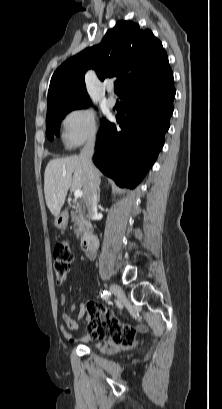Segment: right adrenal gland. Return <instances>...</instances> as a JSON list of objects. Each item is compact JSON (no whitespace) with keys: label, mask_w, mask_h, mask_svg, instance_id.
Listing matches in <instances>:
<instances>
[{"label":"right adrenal gland","mask_w":222,"mask_h":409,"mask_svg":"<svg viewBox=\"0 0 222 409\" xmlns=\"http://www.w3.org/2000/svg\"><path fill=\"white\" fill-rule=\"evenodd\" d=\"M100 183H101V179H99V182H98V200H100Z\"/></svg>","instance_id":"right-adrenal-gland-1"}]
</instances>
